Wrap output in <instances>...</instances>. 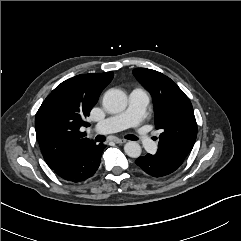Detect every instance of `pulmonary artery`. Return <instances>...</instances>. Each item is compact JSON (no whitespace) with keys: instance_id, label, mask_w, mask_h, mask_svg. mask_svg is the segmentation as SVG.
Masks as SVG:
<instances>
[{"instance_id":"obj_1","label":"pulmonary artery","mask_w":241,"mask_h":241,"mask_svg":"<svg viewBox=\"0 0 241 241\" xmlns=\"http://www.w3.org/2000/svg\"><path fill=\"white\" fill-rule=\"evenodd\" d=\"M149 100V93L144 88L133 89L129 95V106L126 111L97 123L95 130L101 133H111L130 127L142 146L152 150L154 141L141 126Z\"/></svg>"}]
</instances>
